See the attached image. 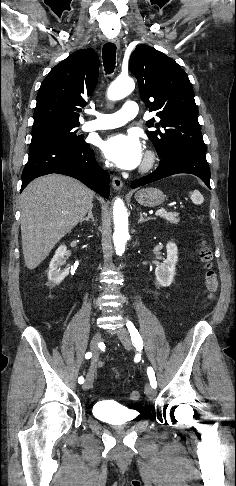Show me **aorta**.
<instances>
[{
	"mask_svg": "<svg viewBox=\"0 0 236 486\" xmlns=\"http://www.w3.org/2000/svg\"><path fill=\"white\" fill-rule=\"evenodd\" d=\"M135 88L134 81L127 78L116 79L108 88L107 96L110 100H120L129 95ZM113 218H114V246L116 254L122 255L125 251L126 242L129 239L128 232V214L124 202L118 198L114 202L113 206Z\"/></svg>",
	"mask_w": 236,
	"mask_h": 486,
	"instance_id": "1",
	"label": "aorta"
}]
</instances>
